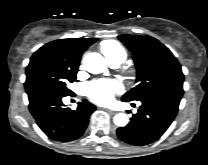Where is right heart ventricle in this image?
I'll return each instance as SVG.
<instances>
[{
  "label": "right heart ventricle",
  "instance_id": "1",
  "mask_svg": "<svg viewBox=\"0 0 208 165\" xmlns=\"http://www.w3.org/2000/svg\"><path fill=\"white\" fill-rule=\"evenodd\" d=\"M101 50L109 63L113 61L122 63L126 59L125 49L114 40H106L102 42Z\"/></svg>",
  "mask_w": 208,
  "mask_h": 165
}]
</instances>
